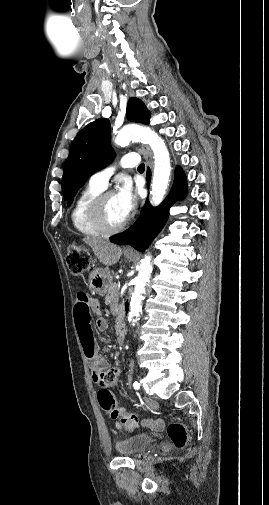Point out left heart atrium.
I'll use <instances>...</instances> for the list:
<instances>
[{"label": "left heart atrium", "mask_w": 269, "mask_h": 505, "mask_svg": "<svg viewBox=\"0 0 269 505\" xmlns=\"http://www.w3.org/2000/svg\"><path fill=\"white\" fill-rule=\"evenodd\" d=\"M114 197L121 215L127 219L137 204V196L131 183L129 181H123L114 194Z\"/></svg>", "instance_id": "obj_1"}]
</instances>
